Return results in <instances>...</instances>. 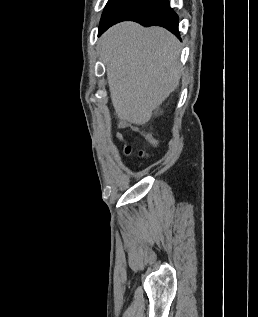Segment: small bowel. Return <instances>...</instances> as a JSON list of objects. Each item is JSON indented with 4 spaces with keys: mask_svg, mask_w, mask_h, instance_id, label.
I'll list each match as a JSON object with an SVG mask.
<instances>
[{
    "mask_svg": "<svg viewBox=\"0 0 258 317\" xmlns=\"http://www.w3.org/2000/svg\"><path fill=\"white\" fill-rule=\"evenodd\" d=\"M145 137L148 139V141L153 144L154 146H156L158 144L157 140L150 134H145Z\"/></svg>",
    "mask_w": 258,
    "mask_h": 317,
    "instance_id": "obj_1",
    "label": "small bowel"
}]
</instances>
